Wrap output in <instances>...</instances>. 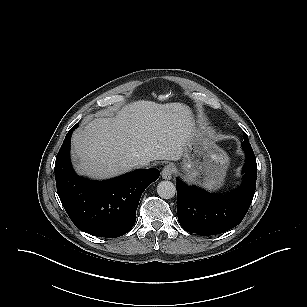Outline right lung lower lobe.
I'll list each match as a JSON object with an SVG mask.
<instances>
[{"mask_svg": "<svg viewBox=\"0 0 307 307\" xmlns=\"http://www.w3.org/2000/svg\"><path fill=\"white\" fill-rule=\"evenodd\" d=\"M66 135L55 162L59 198L72 222L81 231L97 237L115 238L135 224L136 210L146 187L158 179L159 170H136L99 182L79 177L71 167L70 138Z\"/></svg>", "mask_w": 307, "mask_h": 307, "instance_id": "98d812e1", "label": "right lung lower lobe"}]
</instances>
